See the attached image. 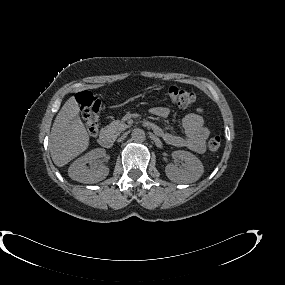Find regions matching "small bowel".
Masks as SVG:
<instances>
[{"instance_id":"1","label":"small bowel","mask_w":285,"mask_h":285,"mask_svg":"<svg viewBox=\"0 0 285 285\" xmlns=\"http://www.w3.org/2000/svg\"><path fill=\"white\" fill-rule=\"evenodd\" d=\"M150 113L159 118H166L169 115V110L166 107L156 106L150 109ZM151 128L168 144L175 147H185L198 154L205 151L204 142L210 134L209 130L204 125L203 111L200 108H197L195 111L184 117L183 135L165 132L155 124H151Z\"/></svg>"}]
</instances>
